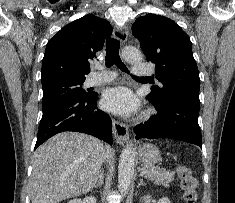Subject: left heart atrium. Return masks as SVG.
<instances>
[{"label": "left heart atrium", "instance_id": "39dd6f15", "mask_svg": "<svg viewBox=\"0 0 235 203\" xmlns=\"http://www.w3.org/2000/svg\"><path fill=\"white\" fill-rule=\"evenodd\" d=\"M101 105L109 112L126 116L138 110L139 101L130 89L120 86L106 90Z\"/></svg>", "mask_w": 235, "mask_h": 203}]
</instances>
